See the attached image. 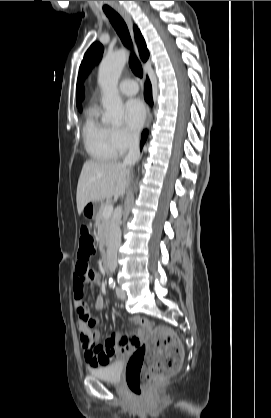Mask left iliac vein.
Returning a JSON list of instances; mask_svg holds the SVG:
<instances>
[{"label":"left iliac vein","instance_id":"4c4485c4","mask_svg":"<svg viewBox=\"0 0 271 418\" xmlns=\"http://www.w3.org/2000/svg\"><path fill=\"white\" fill-rule=\"evenodd\" d=\"M116 294H117L118 298H120V299H125L126 298V292L123 289H121L120 287H117Z\"/></svg>","mask_w":271,"mask_h":418}]
</instances>
